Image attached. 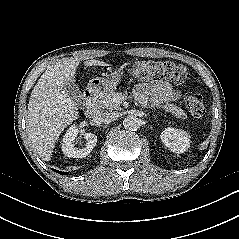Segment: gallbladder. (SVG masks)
I'll list each match as a JSON object with an SVG mask.
<instances>
[{"label": "gallbladder", "instance_id": "gallbladder-1", "mask_svg": "<svg viewBox=\"0 0 239 239\" xmlns=\"http://www.w3.org/2000/svg\"><path fill=\"white\" fill-rule=\"evenodd\" d=\"M65 89L69 97L80 107L84 105L82 92L80 91L78 84L75 81L65 84Z\"/></svg>", "mask_w": 239, "mask_h": 239}]
</instances>
